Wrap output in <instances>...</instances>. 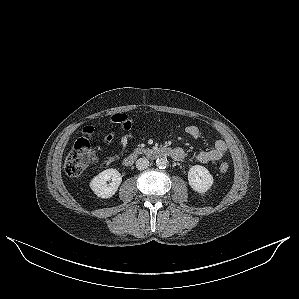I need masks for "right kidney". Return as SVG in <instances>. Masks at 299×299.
<instances>
[{"label":"right kidney","instance_id":"ca27d5eb","mask_svg":"<svg viewBox=\"0 0 299 299\" xmlns=\"http://www.w3.org/2000/svg\"><path fill=\"white\" fill-rule=\"evenodd\" d=\"M111 182L107 184V181ZM122 176L116 169H106L95 176L90 182L92 191L101 198H110L118 190Z\"/></svg>","mask_w":299,"mask_h":299}]
</instances>
